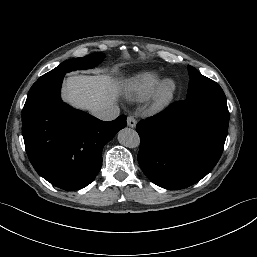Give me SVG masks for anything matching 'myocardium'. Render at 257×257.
<instances>
[{
  "label": "myocardium",
  "instance_id": "1",
  "mask_svg": "<svg viewBox=\"0 0 257 257\" xmlns=\"http://www.w3.org/2000/svg\"><path fill=\"white\" fill-rule=\"evenodd\" d=\"M176 90L177 86L174 80L166 79L162 81L154 94L150 110L155 113L167 108L171 104Z\"/></svg>",
  "mask_w": 257,
  "mask_h": 257
}]
</instances>
